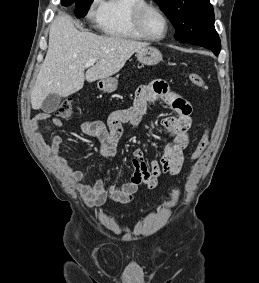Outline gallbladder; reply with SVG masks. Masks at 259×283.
<instances>
[{"instance_id":"gallbladder-1","label":"gallbladder","mask_w":259,"mask_h":283,"mask_svg":"<svg viewBox=\"0 0 259 283\" xmlns=\"http://www.w3.org/2000/svg\"><path fill=\"white\" fill-rule=\"evenodd\" d=\"M61 102V97L56 94H51L43 101L41 109L46 113H52L57 110Z\"/></svg>"}]
</instances>
